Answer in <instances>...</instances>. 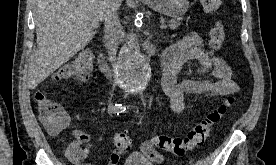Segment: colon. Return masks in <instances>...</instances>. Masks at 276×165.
Returning a JSON list of instances; mask_svg holds the SVG:
<instances>
[{"mask_svg":"<svg viewBox=\"0 0 276 165\" xmlns=\"http://www.w3.org/2000/svg\"><path fill=\"white\" fill-rule=\"evenodd\" d=\"M207 13H217L223 8L222 0H201ZM225 41L224 28L217 24L210 32V46L219 49ZM92 57L89 52H82L76 58L68 62L60 71V79L74 78L84 80L90 73ZM40 120L51 133L61 132L68 123V117L63 108L52 101L45 92L38 91L35 95ZM233 103V97H227L221 104L210 111L199 123H197L184 137H169L158 135L150 140V145L144 148L145 155L153 160L156 149L173 153L177 156L184 155L187 151L201 146L208 137L211 128L216 125L226 114ZM115 149L120 153L127 152L132 140L127 133H117L113 138Z\"/></svg>","mask_w":276,"mask_h":165,"instance_id":"1","label":"colon"}]
</instances>
